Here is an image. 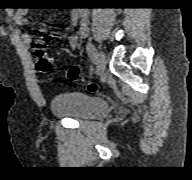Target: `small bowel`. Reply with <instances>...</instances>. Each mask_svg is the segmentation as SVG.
I'll list each match as a JSON object with an SVG mask.
<instances>
[{"label": "small bowel", "mask_w": 192, "mask_h": 180, "mask_svg": "<svg viewBox=\"0 0 192 180\" xmlns=\"http://www.w3.org/2000/svg\"><path fill=\"white\" fill-rule=\"evenodd\" d=\"M26 11L24 9H20L15 13L14 20L19 25H24L27 23L26 20ZM71 26L72 33L69 35L68 40L70 47L75 49L77 47L78 41L80 38H84L88 35V13L85 10L74 9L71 12ZM21 40L25 44H31L32 37L29 33L22 32L20 34Z\"/></svg>", "instance_id": "obj_1"}]
</instances>
